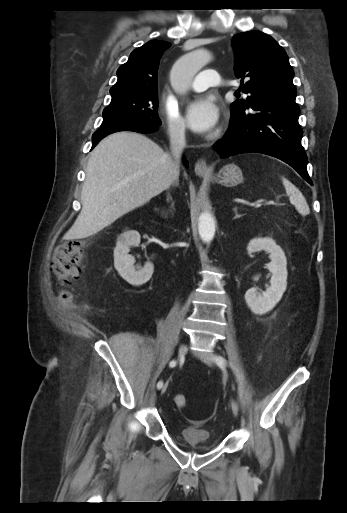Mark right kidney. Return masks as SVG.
<instances>
[{
  "mask_svg": "<svg viewBox=\"0 0 347 513\" xmlns=\"http://www.w3.org/2000/svg\"><path fill=\"white\" fill-rule=\"evenodd\" d=\"M140 243V234L137 231H128L121 234L114 249V267L119 275L132 285H142L147 282L154 271L152 263L147 262L138 270L134 267V258L129 255L130 247Z\"/></svg>",
  "mask_w": 347,
  "mask_h": 513,
  "instance_id": "right-kidney-1",
  "label": "right kidney"
}]
</instances>
